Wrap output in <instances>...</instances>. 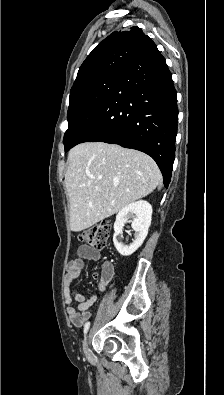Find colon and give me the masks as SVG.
<instances>
[{
    "label": "colon",
    "instance_id": "obj_1",
    "mask_svg": "<svg viewBox=\"0 0 224 395\" xmlns=\"http://www.w3.org/2000/svg\"><path fill=\"white\" fill-rule=\"evenodd\" d=\"M110 224L100 223L89 229L84 230L80 234V240L95 249H102L105 247L110 235ZM109 266H105L101 272H95V277L103 279L108 275Z\"/></svg>",
    "mask_w": 224,
    "mask_h": 395
}]
</instances>
